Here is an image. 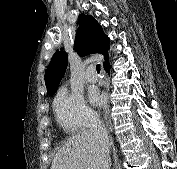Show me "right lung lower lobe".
<instances>
[{"label": "right lung lower lobe", "mask_w": 177, "mask_h": 169, "mask_svg": "<svg viewBox=\"0 0 177 169\" xmlns=\"http://www.w3.org/2000/svg\"><path fill=\"white\" fill-rule=\"evenodd\" d=\"M104 70L109 74V72H110V65L109 64L105 65L104 66Z\"/></svg>", "instance_id": "1"}]
</instances>
